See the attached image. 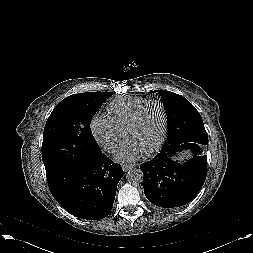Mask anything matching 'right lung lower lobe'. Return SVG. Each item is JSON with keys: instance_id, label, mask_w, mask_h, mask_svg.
<instances>
[{"instance_id": "right-lung-lower-lobe-1", "label": "right lung lower lobe", "mask_w": 253, "mask_h": 253, "mask_svg": "<svg viewBox=\"0 0 253 253\" xmlns=\"http://www.w3.org/2000/svg\"><path fill=\"white\" fill-rule=\"evenodd\" d=\"M124 175L101 149L90 157L46 170L49 190L70 214L87 220L109 215L119 180Z\"/></svg>"}]
</instances>
